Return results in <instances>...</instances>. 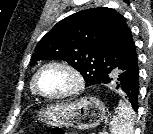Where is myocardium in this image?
Here are the masks:
<instances>
[{"label": "myocardium", "instance_id": "1", "mask_svg": "<svg viewBox=\"0 0 153 134\" xmlns=\"http://www.w3.org/2000/svg\"><path fill=\"white\" fill-rule=\"evenodd\" d=\"M48 68H59L66 71L73 79V85L71 86V88L58 94L43 93L38 87V78L40 74L45 69H48ZM84 85H85V79L81 71L77 67L72 65L71 63H68L62 60H51L44 63L42 66L38 68V70L36 71L32 79V86H33L34 92L37 95L41 96L42 98H45L48 100H60V99L74 96L78 94L84 88Z\"/></svg>", "mask_w": 153, "mask_h": 134}]
</instances>
